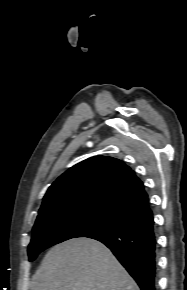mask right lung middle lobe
I'll return each instance as SVG.
<instances>
[{
	"label": "right lung middle lobe",
	"mask_w": 187,
	"mask_h": 290,
	"mask_svg": "<svg viewBox=\"0 0 187 290\" xmlns=\"http://www.w3.org/2000/svg\"><path fill=\"white\" fill-rule=\"evenodd\" d=\"M128 220L103 206H81L53 212L37 218L28 247L29 260L50 246L77 237L118 227Z\"/></svg>",
	"instance_id": "right-lung-middle-lobe-1"
}]
</instances>
